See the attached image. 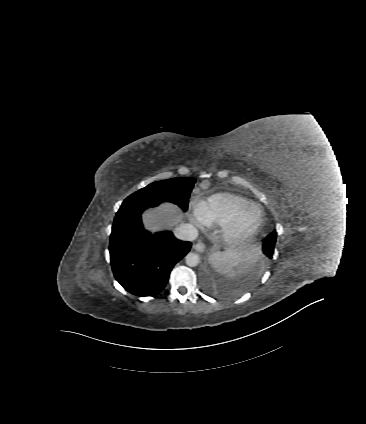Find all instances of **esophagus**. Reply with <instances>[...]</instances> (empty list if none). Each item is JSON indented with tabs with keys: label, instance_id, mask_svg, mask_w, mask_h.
Instances as JSON below:
<instances>
[{
	"label": "esophagus",
	"instance_id": "esophagus-1",
	"mask_svg": "<svg viewBox=\"0 0 366 424\" xmlns=\"http://www.w3.org/2000/svg\"><path fill=\"white\" fill-rule=\"evenodd\" d=\"M193 248H194L197 252L202 253V252H204V251H205L206 246H205V244H204V243H202V242H198V243L194 244Z\"/></svg>",
	"mask_w": 366,
	"mask_h": 424
}]
</instances>
